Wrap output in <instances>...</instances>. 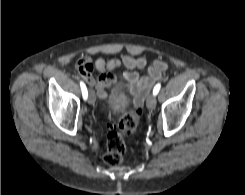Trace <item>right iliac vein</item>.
Masks as SVG:
<instances>
[{
	"label": "right iliac vein",
	"instance_id": "obj_1",
	"mask_svg": "<svg viewBox=\"0 0 245 195\" xmlns=\"http://www.w3.org/2000/svg\"><path fill=\"white\" fill-rule=\"evenodd\" d=\"M95 101H96L95 93H94V91L90 90L89 94H88V102L90 104L94 105Z\"/></svg>",
	"mask_w": 245,
	"mask_h": 195
}]
</instances>
